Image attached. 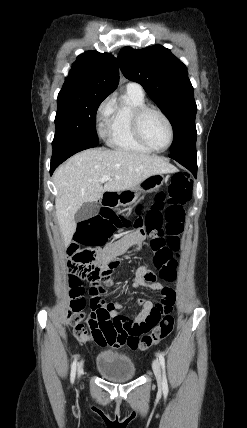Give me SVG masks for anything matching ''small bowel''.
I'll return each mask as SVG.
<instances>
[{"instance_id":"c3829d8e","label":"small bowel","mask_w":247,"mask_h":428,"mask_svg":"<svg viewBox=\"0 0 247 428\" xmlns=\"http://www.w3.org/2000/svg\"><path fill=\"white\" fill-rule=\"evenodd\" d=\"M145 238L144 231H134L133 233H130L123 237L122 239L116 241L115 243L109 245L108 247L104 248L103 250L98 252L100 261L104 265H110L114 262H118L116 260L117 257L124 254L129 248L136 247L140 245ZM118 266H112L109 280L105 283L106 287H113L114 286V278H113V270ZM156 275L150 270V268L147 265H141L138 267V269L135 272L134 278L132 280V287L134 288H145L148 287L152 290H156L161 292L163 298H171L174 300V291L164 286L162 283L156 282ZM91 299L97 300L105 305L108 306L109 309V315L111 318H121L125 321H129V319L137 320L139 317H150L151 308L147 309L144 305L138 306L141 308V311L135 316L130 317L127 315H121L120 311L123 308V304L121 301H115V302H106L102 297L96 298L94 293L90 291ZM139 300H147V299H139ZM76 338L80 342H88L91 340H94L97 344L101 346H105L108 343L105 340L96 341L95 338L90 336L89 334H83V335H76Z\"/></svg>"}]
</instances>
